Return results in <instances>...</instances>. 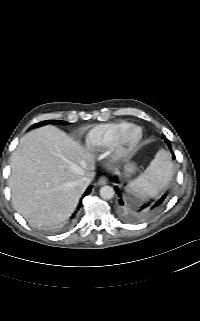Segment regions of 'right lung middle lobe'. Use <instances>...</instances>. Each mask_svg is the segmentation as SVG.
I'll return each instance as SVG.
<instances>
[{
	"label": "right lung middle lobe",
	"mask_w": 200,
	"mask_h": 321,
	"mask_svg": "<svg viewBox=\"0 0 200 321\" xmlns=\"http://www.w3.org/2000/svg\"><path fill=\"white\" fill-rule=\"evenodd\" d=\"M68 124L67 122L65 121H60V120H47V121H42L40 123H37L35 125H33L32 127H39V126H42V125H45V124Z\"/></svg>",
	"instance_id": "obj_1"
}]
</instances>
